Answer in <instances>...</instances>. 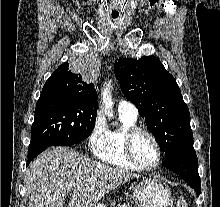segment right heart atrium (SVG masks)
Returning <instances> with one entry per match:
<instances>
[{"label":"right heart atrium","instance_id":"1","mask_svg":"<svg viewBox=\"0 0 220 207\" xmlns=\"http://www.w3.org/2000/svg\"><path fill=\"white\" fill-rule=\"evenodd\" d=\"M108 128L106 122L101 114H97L91 125L88 135V145L90 149L95 152L103 143Z\"/></svg>","mask_w":220,"mask_h":207}]
</instances>
